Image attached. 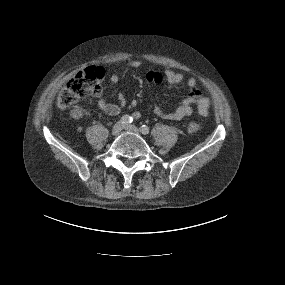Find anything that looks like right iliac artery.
Listing matches in <instances>:
<instances>
[{
	"label": "right iliac artery",
	"instance_id": "82829eb1",
	"mask_svg": "<svg viewBox=\"0 0 285 285\" xmlns=\"http://www.w3.org/2000/svg\"><path fill=\"white\" fill-rule=\"evenodd\" d=\"M133 121V118L129 115H124L122 116L121 118V122L124 123V124H129Z\"/></svg>",
	"mask_w": 285,
	"mask_h": 285
}]
</instances>
